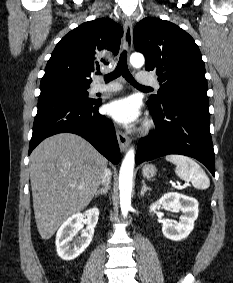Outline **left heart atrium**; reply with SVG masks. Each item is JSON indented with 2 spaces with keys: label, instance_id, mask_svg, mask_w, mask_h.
<instances>
[{
  "label": "left heart atrium",
  "instance_id": "1",
  "mask_svg": "<svg viewBox=\"0 0 233 283\" xmlns=\"http://www.w3.org/2000/svg\"><path fill=\"white\" fill-rule=\"evenodd\" d=\"M107 113L116 122L127 126L136 123L140 115L138 104L132 97L112 101L107 106Z\"/></svg>",
  "mask_w": 233,
  "mask_h": 283
}]
</instances>
